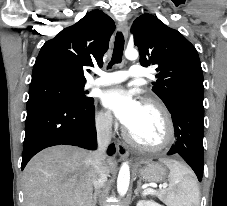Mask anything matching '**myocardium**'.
Here are the masks:
<instances>
[{
  "instance_id": "myocardium-1",
  "label": "myocardium",
  "mask_w": 227,
  "mask_h": 206,
  "mask_svg": "<svg viewBox=\"0 0 227 206\" xmlns=\"http://www.w3.org/2000/svg\"><path fill=\"white\" fill-rule=\"evenodd\" d=\"M143 105L155 109L160 115L164 126L163 138L158 143L145 144L138 141L129 130L126 131V137L132 145L142 150L160 151L162 149H165L173 142L175 135L174 123L171 114L161 101L154 98H145L143 100Z\"/></svg>"
}]
</instances>
